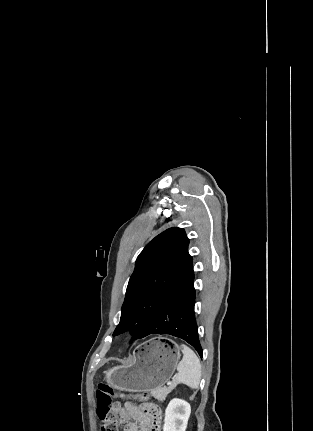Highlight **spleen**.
I'll list each match as a JSON object with an SVG mask.
<instances>
[{
    "label": "spleen",
    "mask_w": 313,
    "mask_h": 431,
    "mask_svg": "<svg viewBox=\"0 0 313 431\" xmlns=\"http://www.w3.org/2000/svg\"><path fill=\"white\" fill-rule=\"evenodd\" d=\"M183 358L177 366L176 380L192 389H197L201 380V364L196 354L185 344L180 346Z\"/></svg>",
    "instance_id": "3e777b00"
}]
</instances>
